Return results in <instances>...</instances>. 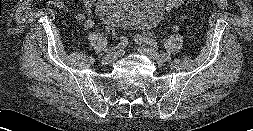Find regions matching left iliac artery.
Returning a JSON list of instances; mask_svg holds the SVG:
<instances>
[{
	"instance_id": "obj_1",
	"label": "left iliac artery",
	"mask_w": 253,
	"mask_h": 131,
	"mask_svg": "<svg viewBox=\"0 0 253 131\" xmlns=\"http://www.w3.org/2000/svg\"><path fill=\"white\" fill-rule=\"evenodd\" d=\"M137 38H139V40L144 42L145 44L151 45L156 49H160L159 44L150 37L138 35Z\"/></svg>"
}]
</instances>
